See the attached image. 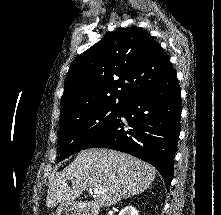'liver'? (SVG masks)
Listing matches in <instances>:
<instances>
[{"label":"liver","mask_w":221,"mask_h":215,"mask_svg":"<svg viewBox=\"0 0 221 215\" xmlns=\"http://www.w3.org/2000/svg\"><path fill=\"white\" fill-rule=\"evenodd\" d=\"M155 175L153 166L129 154L104 148L84 150L49 180L46 205L52 208L73 202L91 187L102 191L96 194L95 204L110 207L147 190ZM67 181H71V187Z\"/></svg>","instance_id":"6515ba94"}]
</instances>
